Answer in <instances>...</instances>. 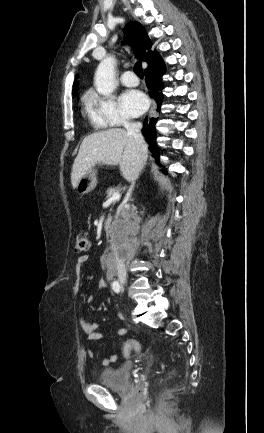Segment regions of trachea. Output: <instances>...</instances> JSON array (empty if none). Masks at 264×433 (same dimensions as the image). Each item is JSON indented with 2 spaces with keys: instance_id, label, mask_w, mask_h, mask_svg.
<instances>
[{
  "instance_id": "1",
  "label": "trachea",
  "mask_w": 264,
  "mask_h": 433,
  "mask_svg": "<svg viewBox=\"0 0 264 433\" xmlns=\"http://www.w3.org/2000/svg\"><path fill=\"white\" fill-rule=\"evenodd\" d=\"M134 72L136 73V75H138L139 77H143V72H142V67H141V63L137 62L133 68Z\"/></svg>"
}]
</instances>
